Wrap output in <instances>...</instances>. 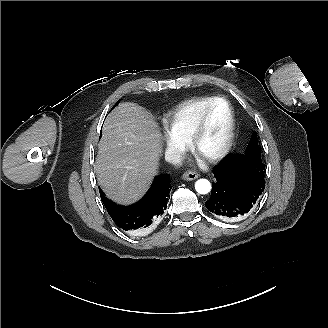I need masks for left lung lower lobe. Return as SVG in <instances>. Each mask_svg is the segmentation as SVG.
Here are the masks:
<instances>
[{
    "label": "left lung lower lobe",
    "mask_w": 328,
    "mask_h": 328,
    "mask_svg": "<svg viewBox=\"0 0 328 328\" xmlns=\"http://www.w3.org/2000/svg\"><path fill=\"white\" fill-rule=\"evenodd\" d=\"M264 169L260 148L229 155L213 169L216 182L206 208L222 220L246 215L264 191Z\"/></svg>",
    "instance_id": "obj_1"
}]
</instances>
